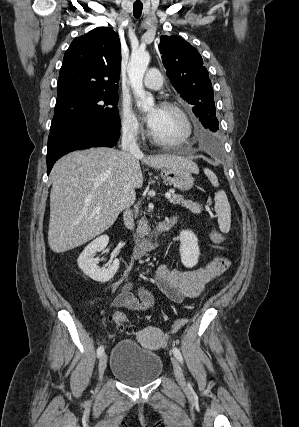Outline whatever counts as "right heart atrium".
<instances>
[{"label":"right heart atrium","mask_w":299,"mask_h":427,"mask_svg":"<svg viewBox=\"0 0 299 427\" xmlns=\"http://www.w3.org/2000/svg\"><path fill=\"white\" fill-rule=\"evenodd\" d=\"M120 126L122 133L130 138L137 139L143 134V128L127 101H122L119 108Z\"/></svg>","instance_id":"d8ad5b80"}]
</instances>
